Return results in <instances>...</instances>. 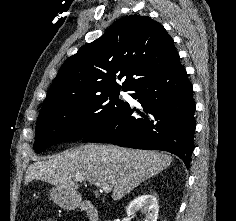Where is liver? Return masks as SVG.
I'll return each mask as SVG.
<instances>
[{"instance_id":"6515ba94","label":"liver","mask_w":236,"mask_h":221,"mask_svg":"<svg viewBox=\"0 0 236 221\" xmlns=\"http://www.w3.org/2000/svg\"><path fill=\"white\" fill-rule=\"evenodd\" d=\"M173 158L162 152L86 144L31 164L25 183L41 180L70 192L79 187L76 177L113 187V200L170 166Z\"/></svg>"}]
</instances>
